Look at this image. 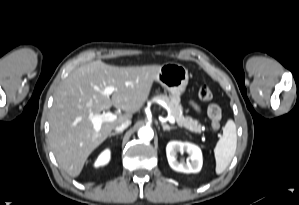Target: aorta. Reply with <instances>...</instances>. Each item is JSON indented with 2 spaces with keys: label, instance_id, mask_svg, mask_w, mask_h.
I'll return each mask as SVG.
<instances>
[{
  "label": "aorta",
  "instance_id": "762f6f07",
  "mask_svg": "<svg viewBox=\"0 0 299 205\" xmlns=\"http://www.w3.org/2000/svg\"><path fill=\"white\" fill-rule=\"evenodd\" d=\"M154 132L150 127H142L138 131V137L144 141L152 140Z\"/></svg>",
  "mask_w": 299,
  "mask_h": 205
}]
</instances>
